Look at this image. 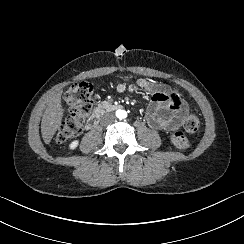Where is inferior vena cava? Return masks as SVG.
Masks as SVG:
<instances>
[{"label":"inferior vena cava","mask_w":244,"mask_h":244,"mask_svg":"<svg viewBox=\"0 0 244 244\" xmlns=\"http://www.w3.org/2000/svg\"><path fill=\"white\" fill-rule=\"evenodd\" d=\"M115 120V116L113 114H105L102 119L101 122L102 123H110L111 121Z\"/></svg>","instance_id":"obj_1"}]
</instances>
